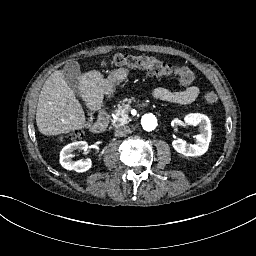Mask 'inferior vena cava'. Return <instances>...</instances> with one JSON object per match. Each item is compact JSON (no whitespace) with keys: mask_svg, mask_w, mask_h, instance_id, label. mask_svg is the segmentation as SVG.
I'll use <instances>...</instances> for the list:
<instances>
[{"mask_svg":"<svg viewBox=\"0 0 256 256\" xmlns=\"http://www.w3.org/2000/svg\"><path fill=\"white\" fill-rule=\"evenodd\" d=\"M131 132L129 126L127 125H121L118 126L115 130H114V134L116 137H123L126 136L127 134H129Z\"/></svg>","mask_w":256,"mask_h":256,"instance_id":"inferior-vena-cava-1","label":"inferior vena cava"}]
</instances>
